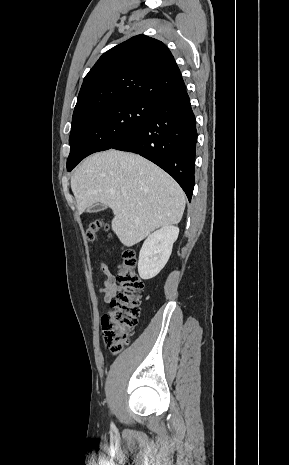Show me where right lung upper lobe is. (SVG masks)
Wrapping results in <instances>:
<instances>
[{"label": "right lung upper lobe", "instance_id": "obj_1", "mask_svg": "<svg viewBox=\"0 0 289 465\" xmlns=\"http://www.w3.org/2000/svg\"><path fill=\"white\" fill-rule=\"evenodd\" d=\"M184 89L170 50L161 41L137 35L104 53L85 76L72 126L94 110L117 102H155Z\"/></svg>", "mask_w": 289, "mask_h": 465}]
</instances>
